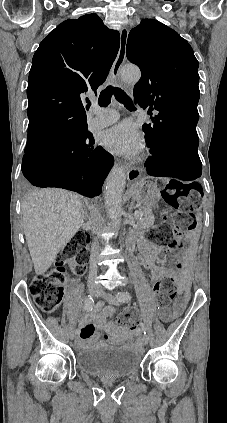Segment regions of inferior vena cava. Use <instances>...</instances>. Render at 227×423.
Segmentation results:
<instances>
[{
    "label": "inferior vena cava",
    "instance_id": "inferior-vena-cava-1",
    "mask_svg": "<svg viewBox=\"0 0 227 423\" xmlns=\"http://www.w3.org/2000/svg\"><path fill=\"white\" fill-rule=\"evenodd\" d=\"M93 223H102V219H98V217H93ZM98 239H93L92 247H91V257H90V265H89V277H97V263H96V255H98Z\"/></svg>",
    "mask_w": 227,
    "mask_h": 423
}]
</instances>
